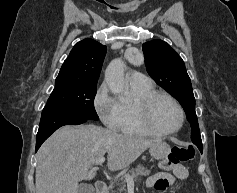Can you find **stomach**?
<instances>
[{"label": "stomach", "instance_id": "1", "mask_svg": "<svg viewBox=\"0 0 237 193\" xmlns=\"http://www.w3.org/2000/svg\"><path fill=\"white\" fill-rule=\"evenodd\" d=\"M149 152L153 158L163 159L169 154L170 146L166 142L160 140L150 146Z\"/></svg>", "mask_w": 237, "mask_h": 193}]
</instances>
